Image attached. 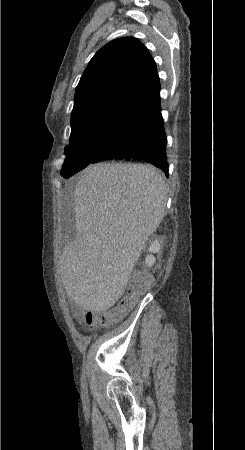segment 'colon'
<instances>
[{"instance_id": "5ec220e1", "label": "colon", "mask_w": 245, "mask_h": 450, "mask_svg": "<svg viewBox=\"0 0 245 450\" xmlns=\"http://www.w3.org/2000/svg\"><path fill=\"white\" fill-rule=\"evenodd\" d=\"M147 282L142 273L135 272L127 283V290L120 301L112 308L94 312L89 320L85 321L87 326L108 325L117 322L130 311L137 299L147 290Z\"/></svg>"}]
</instances>
